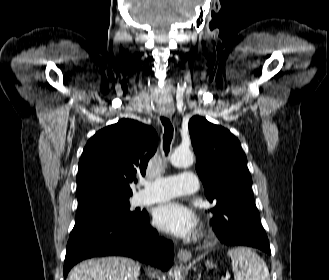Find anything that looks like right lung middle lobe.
<instances>
[{
  "mask_svg": "<svg viewBox=\"0 0 329 280\" xmlns=\"http://www.w3.org/2000/svg\"><path fill=\"white\" fill-rule=\"evenodd\" d=\"M129 209V198L104 195L85 197L78 199V213L75 223L101 213L118 215L130 221H138L143 215V212L130 211Z\"/></svg>",
  "mask_w": 329,
  "mask_h": 280,
  "instance_id": "obj_1",
  "label": "right lung middle lobe"
}]
</instances>
